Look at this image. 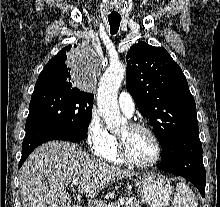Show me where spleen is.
I'll list each match as a JSON object with an SVG mask.
<instances>
[{"instance_id": "1", "label": "spleen", "mask_w": 220, "mask_h": 207, "mask_svg": "<svg viewBox=\"0 0 220 207\" xmlns=\"http://www.w3.org/2000/svg\"><path fill=\"white\" fill-rule=\"evenodd\" d=\"M173 207H198L197 199L192 190L184 183H178L172 203Z\"/></svg>"}]
</instances>
